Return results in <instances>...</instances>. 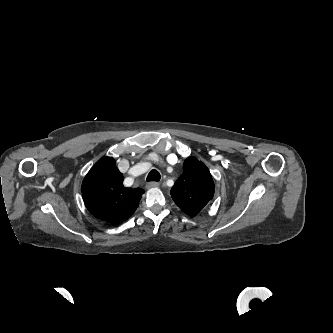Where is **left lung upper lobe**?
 Instances as JSON below:
<instances>
[{
  "label": "left lung upper lobe",
  "instance_id": "obj_1",
  "mask_svg": "<svg viewBox=\"0 0 333 333\" xmlns=\"http://www.w3.org/2000/svg\"><path fill=\"white\" fill-rule=\"evenodd\" d=\"M183 171L171 189V196L182 211L195 216L212 199L214 182L205 164L194 157L185 160Z\"/></svg>",
  "mask_w": 333,
  "mask_h": 333
}]
</instances>
